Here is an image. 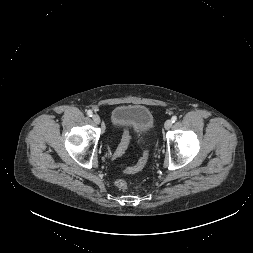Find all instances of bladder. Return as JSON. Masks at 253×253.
Listing matches in <instances>:
<instances>
[{"label": "bladder", "mask_w": 253, "mask_h": 253, "mask_svg": "<svg viewBox=\"0 0 253 253\" xmlns=\"http://www.w3.org/2000/svg\"><path fill=\"white\" fill-rule=\"evenodd\" d=\"M111 126L114 131L126 129L138 141H143L153 133L155 121L152 112L146 106L122 104L113 109Z\"/></svg>", "instance_id": "1"}]
</instances>
